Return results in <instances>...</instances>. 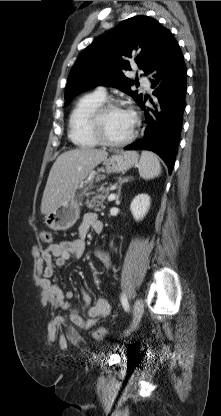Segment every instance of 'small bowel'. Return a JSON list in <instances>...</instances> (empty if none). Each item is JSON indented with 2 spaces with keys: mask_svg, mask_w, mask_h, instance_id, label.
<instances>
[{
  "mask_svg": "<svg viewBox=\"0 0 221 416\" xmlns=\"http://www.w3.org/2000/svg\"><path fill=\"white\" fill-rule=\"evenodd\" d=\"M90 229L95 233H101L103 230V223L92 212L84 214L81 224L78 227V235L75 239L51 244L38 253L43 266L41 272L36 274V279L45 288L49 303L56 309L59 308L68 311L71 323L86 330L95 326L100 318L106 317L110 313L109 301L106 298L100 297L91 304L90 294L82 289V300L87 315L83 317L69 302L73 298V292L70 290H62L57 284L54 275L55 270L65 266L69 260L79 259L83 256L85 251V238ZM97 256L107 268L111 266V260L106 253L98 251ZM64 321V318L58 319L59 323H63Z\"/></svg>",
  "mask_w": 221,
  "mask_h": 416,
  "instance_id": "c3829d8e",
  "label": "small bowel"
}]
</instances>
